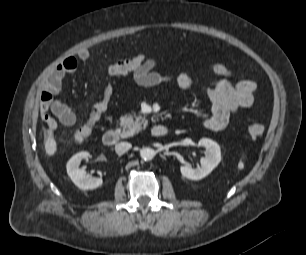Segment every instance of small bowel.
<instances>
[{
	"label": "small bowel",
	"mask_w": 306,
	"mask_h": 255,
	"mask_svg": "<svg viewBox=\"0 0 306 255\" xmlns=\"http://www.w3.org/2000/svg\"><path fill=\"white\" fill-rule=\"evenodd\" d=\"M90 58L87 49H81L76 56L63 59L46 77L40 95V117L50 129H55L57 122L52 113L61 124L71 126L76 121L75 113L71 108L54 99L62 86L64 77L76 71L78 60L86 61ZM156 61L147 58L146 62L132 72L134 82L141 87H154L171 81V76L156 71ZM210 70L219 78L204 92L211 103L210 114L204 119L205 128L219 131L226 128L232 115L243 108H249L254 102V92L257 88L252 80L243 79L232 84L234 73L221 63H211ZM176 84L182 90H189L194 84V77L187 72H181L175 77Z\"/></svg>",
	"instance_id": "small-bowel-1"
}]
</instances>
